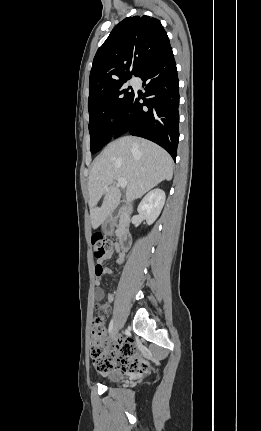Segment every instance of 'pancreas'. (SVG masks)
<instances>
[{"mask_svg": "<svg viewBox=\"0 0 261 431\" xmlns=\"http://www.w3.org/2000/svg\"><path fill=\"white\" fill-rule=\"evenodd\" d=\"M119 222H120V225H119V228H118V230H117V234H119V233H120V226H121V223H122V218H120Z\"/></svg>", "mask_w": 261, "mask_h": 431, "instance_id": "1", "label": "pancreas"}]
</instances>
